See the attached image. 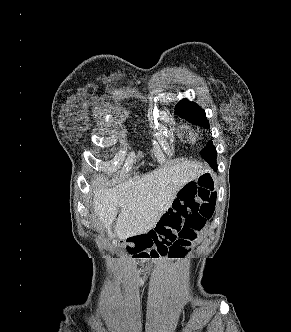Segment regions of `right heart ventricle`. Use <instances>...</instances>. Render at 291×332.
Here are the masks:
<instances>
[{"instance_id": "e07e8e85", "label": "right heart ventricle", "mask_w": 291, "mask_h": 332, "mask_svg": "<svg viewBox=\"0 0 291 332\" xmlns=\"http://www.w3.org/2000/svg\"><path fill=\"white\" fill-rule=\"evenodd\" d=\"M183 131L186 133V136L190 139H194L195 133L188 126L182 127Z\"/></svg>"}]
</instances>
